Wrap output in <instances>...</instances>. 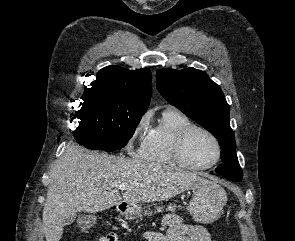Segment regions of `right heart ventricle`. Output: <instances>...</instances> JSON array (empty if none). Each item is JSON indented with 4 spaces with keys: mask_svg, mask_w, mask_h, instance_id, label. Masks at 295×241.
<instances>
[{
    "mask_svg": "<svg viewBox=\"0 0 295 241\" xmlns=\"http://www.w3.org/2000/svg\"><path fill=\"white\" fill-rule=\"evenodd\" d=\"M192 124L190 118L175 108L165 109L150 131L138 152L140 159L157 165H174L171 144L176 135Z\"/></svg>",
    "mask_w": 295,
    "mask_h": 241,
    "instance_id": "right-heart-ventricle-1",
    "label": "right heart ventricle"
}]
</instances>
